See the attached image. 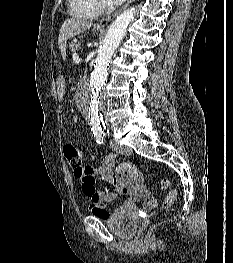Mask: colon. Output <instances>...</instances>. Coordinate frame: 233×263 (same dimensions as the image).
Listing matches in <instances>:
<instances>
[{
  "mask_svg": "<svg viewBox=\"0 0 233 263\" xmlns=\"http://www.w3.org/2000/svg\"><path fill=\"white\" fill-rule=\"evenodd\" d=\"M64 155L70 165L74 170L76 175H86L90 172L89 168L82 165L83 163V153L82 151L72 144H66L64 146ZM169 182L167 179H163L159 183V188L164 191L168 188ZM177 189H173L169 192L168 196L164 201L165 207H171L177 197Z\"/></svg>",
  "mask_w": 233,
  "mask_h": 263,
  "instance_id": "5ec220e1",
  "label": "colon"
}]
</instances>
